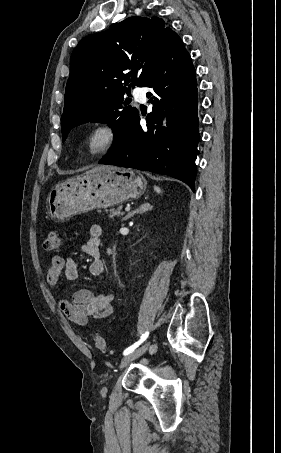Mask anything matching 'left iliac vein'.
<instances>
[{
    "mask_svg": "<svg viewBox=\"0 0 281 453\" xmlns=\"http://www.w3.org/2000/svg\"><path fill=\"white\" fill-rule=\"evenodd\" d=\"M150 344L147 342L146 344H143L142 346H140L136 351H133L132 354H129V355H126V357H122V362L121 364L118 366L120 369L122 367H126V365L128 366V362H133L134 359H137L138 356H143V354L146 352V350L148 349V346Z\"/></svg>",
    "mask_w": 281,
    "mask_h": 453,
    "instance_id": "1",
    "label": "left iliac vein"
}]
</instances>
